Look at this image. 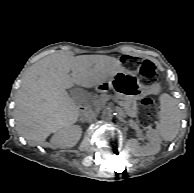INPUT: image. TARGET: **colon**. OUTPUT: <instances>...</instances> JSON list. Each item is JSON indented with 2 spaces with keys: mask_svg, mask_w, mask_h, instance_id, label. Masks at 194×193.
<instances>
[{
  "mask_svg": "<svg viewBox=\"0 0 194 193\" xmlns=\"http://www.w3.org/2000/svg\"><path fill=\"white\" fill-rule=\"evenodd\" d=\"M124 64L127 68L137 72L145 81H151L156 76L155 66L147 60L135 57H127L124 61ZM142 105L146 109H150L153 105V100L149 97H146L142 100ZM153 114V111L147 112L148 117L153 116Z\"/></svg>",
  "mask_w": 194,
  "mask_h": 193,
  "instance_id": "5ec220e1",
  "label": "colon"
}]
</instances>
